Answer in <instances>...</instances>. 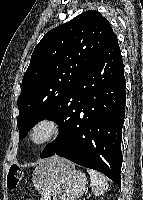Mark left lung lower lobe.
Listing matches in <instances>:
<instances>
[{"mask_svg": "<svg viewBox=\"0 0 143 200\" xmlns=\"http://www.w3.org/2000/svg\"><path fill=\"white\" fill-rule=\"evenodd\" d=\"M115 36L84 71L68 98V123L42 152L95 169L121 185L126 81Z\"/></svg>", "mask_w": 143, "mask_h": 200, "instance_id": "1", "label": "left lung lower lobe"}]
</instances>
